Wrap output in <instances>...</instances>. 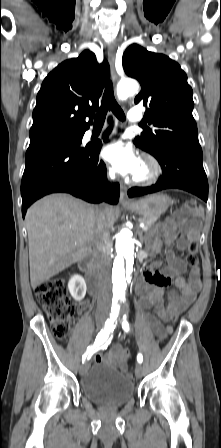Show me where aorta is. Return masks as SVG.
<instances>
[{
	"label": "aorta",
	"mask_w": 221,
	"mask_h": 448,
	"mask_svg": "<svg viewBox=\"0 0 221 448\" xmlns=\"http://www.w3.org/2000/svg\"><path fill=\"white\" fill-rule=\"evenodd\" d=\"M139 89L134 80H125L118 84L117 95L121 99L133 96ZM116 257L112 270L113 313L118 314L122 299L125 297L128 280L133 272L135 259V241L129 229H122L116 235Z\"/></svg>",
	"instance_id": "obj_1"
}]
</instances>
